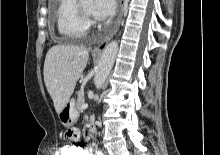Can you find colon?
Returning <instances> with one entry per match:
<instances>
[{
    "instance_id": "5ec220e1",
    "label": "colon",
    "mask_w": 220,
    "mask_h": 155,
    "mask_svg": "<svg viewBox=\"0 0 220 155\" xmlns=\"http://www.w3.org/2000/svg\"><path fill=\"white\" fill-rule=\"evenodd\" d=\"M60 155H83L79 146H60Z\"/></svg>"
}]
</instances>
